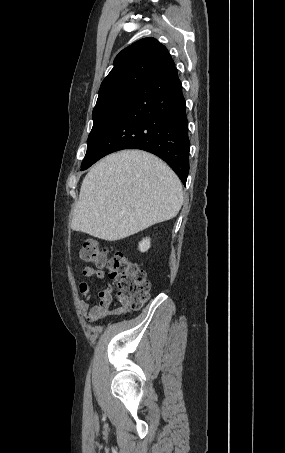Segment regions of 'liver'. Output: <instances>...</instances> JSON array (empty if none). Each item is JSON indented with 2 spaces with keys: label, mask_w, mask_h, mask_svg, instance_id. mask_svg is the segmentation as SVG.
I'll return each instance as SVG.
<instances>
[{
  "label": "liver",
  "mask_w": 285,
  "mask_h": 453,
  "mask_svg": "<svg viewBox=\"0 0 285 453\" xmlns=\"http://www.w3.org/2000/svg\"><path fill=\"white\" fill-rule=\"evenodd\" d=\"M183 203L182 184L158 157L123 150L100 160L85 176L71 228L120 240L174 218Z\"/></svg>",
  "instance_id": "6515ba94"
}]
</instances>
